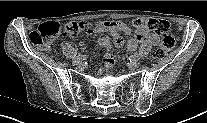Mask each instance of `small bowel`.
<instances>
[{
    "label": "small bowel",
    "instance_id": "c3829d8e",
    "mask_svg": "<svg viewBox=\"0 0 207 123\" xmlns=\"http://www.w3.org/2000/svg\"><path fill=\"white\" fill-rule=\"evenodd\" d=\"M92 31L94 33L101 34L98 37V44L101 47L106 48L107 50L110 49L111 43H110V38L104 33H111V35L113 36L114 43L117 47H122L124 44L122 34L130 35L134 33L135 36L127 42V47L130 50L136 49L137 46L143 41H147L152 45H158L160 43V37L157 34L151 32L150 30L148 29L132 30L121 21L98 22L95 24ZM106 61L111 62V58L109 55L106 56Z\"/></svg>",
    "mask_w": 207,
    "mask_h": 123
}]
</instances>
